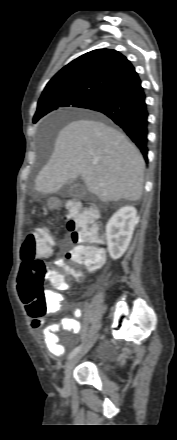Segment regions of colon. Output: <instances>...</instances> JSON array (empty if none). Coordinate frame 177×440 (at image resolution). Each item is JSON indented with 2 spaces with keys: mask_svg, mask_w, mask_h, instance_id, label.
<instances>
[{
  "mask_svg": "<svg viewBox=\"0 0 177 440\" xmlns=\"http://www.w3.org/2000/svg\"><path fill=\"white\" fill-rule=\"evenodd\" d=\"M67 228L74 247L66 253V261L55 262L51 267L43 257L54 246L53 237L43 228L30 230L22 243L21 267L18 290L28 313L42 317L47 311L44 289L48 281L56 287L65 288L69 277L80 278L79 267L98 269L104 261V250L97 245L104 241L102 227L97 223L98 212L94 207H82L78 202L67 205Z\"/></svg>",
  "mask_w": 177,
  "mask_h": 440,
  "instance_id": "1",
  "label": "colon"
}]
</instances>
